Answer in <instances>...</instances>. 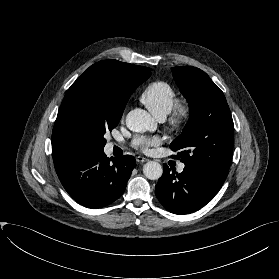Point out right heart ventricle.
Wrapping results in <instances>:
<instances>
[{"mask_svg": "<svg viewBox=\"0 0 279 279\" xmlns=\"http://www.w3.org/2000/svg\"><path fill=\"white\" fill-rule=\"evenodd\" d=\"M141 101L157 118L166 117L176 101L174 88L165 81L150 83L141 94Z\"/></svg>", "mask_w": 279, "mask_h": 279, "instance_id": "right-heart-ventricle-1", "label": "right heart ventricle"}]
</instances>
